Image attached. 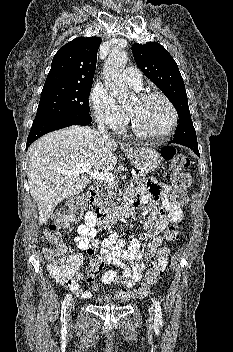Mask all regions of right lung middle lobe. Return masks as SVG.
<instances>
[{
  "label": "right lung middle lobe",
  "mask_w": 233,
  "mask_h": 352,
  "mask_svg": "<svg viewBox=\"0 0 233 352\" xmlns=\"http://www.w3.org/2000/svg\"><path fill=\"white\" fill-rule=\"evenodd\" d=\"M91 87H43L33 124L68 116H90L88 97Z\"/></svg>",
  "instance_id": "dd1d6c3e"
}]
</instances>
